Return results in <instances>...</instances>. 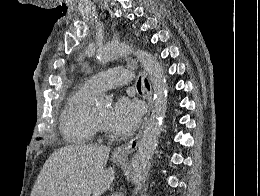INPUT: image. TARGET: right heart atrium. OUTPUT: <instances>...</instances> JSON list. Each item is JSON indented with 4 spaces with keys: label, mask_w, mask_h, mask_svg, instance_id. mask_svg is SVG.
Wrapping results in <instances>:
<instances>
[{
    "label": "right heart atrium",
    "mask_w": 260,
    "mask_h": 196,
    "mask_svg": "<svg viewBox=\"0 0 260 196\" xmlns=\"http://www.w3.org/2000/svg\"><path fill=\"white\" fill-rule=\"evenodd\" d=\"M55 192H87V190H55Z\"/></svg>",
    "instance_id": "1"
}]
</instances>
